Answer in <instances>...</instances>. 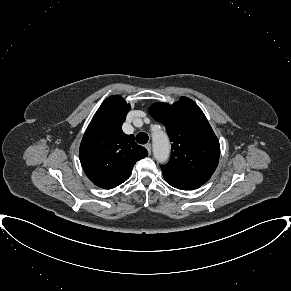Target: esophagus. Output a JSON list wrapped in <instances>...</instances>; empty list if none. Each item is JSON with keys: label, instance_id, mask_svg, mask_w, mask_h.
Masks as SVG:
<instances>
[{"label": "esophagus", "instance_id": "esophagus-1", "mask_svg": "<svg viewBox=\"0 0 291 291\" xmlns=\"http://www.w3.org/2000/svg\"><path fill=\"white\" fill-rule=\"evenodd\" d=\"M145 148L147 149V151H148V153H149V155L151 154V144L150 143H147L146 145H145Z\"/></svg>", "mask_w": 291, "mask_h": 291}]
</instances>
